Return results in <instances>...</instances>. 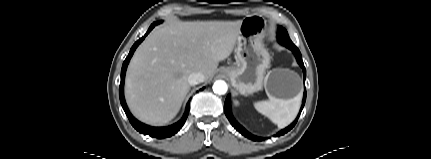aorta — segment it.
Masks as SVG:
<instances>
[{
    "instance_id": "aorta-1",
    "label": "aorta",
    "mask_w": 431,
    "mask_h": 159,
    "mask_svg": "<svg viewBox=\"0 0 431 159\" xmlns=\"http://www.w3.org/2000/svg\"><path fill=\"white\" fill-rule=\"evenodd\" d=\"M228 86L225 81L217 80L213 84V91L216 94L223 95L227 92Z\"/></svg>"
}]
</instances>
